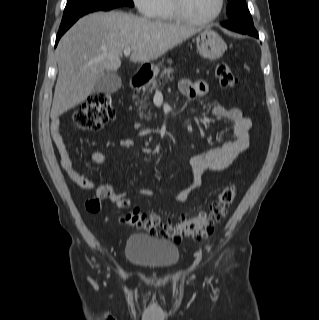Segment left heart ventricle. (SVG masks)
<instances>
[{"instance_id": "1", "label": "left heart ventricle", "mask_w": 319, "mask_h": 320, "mask_svg": "<svg viewBox=\"0 0 319 320\" xmlns=\"http://www.w3.org/2000/svg\"><path fill=\"white\" fill-rule=\"evenodd\" d=\"M219 0H183L186 12L197 19L212 16L218 8Z\"/></svg>"}]
</instances>
